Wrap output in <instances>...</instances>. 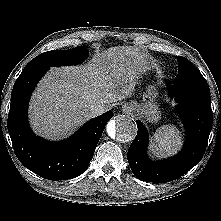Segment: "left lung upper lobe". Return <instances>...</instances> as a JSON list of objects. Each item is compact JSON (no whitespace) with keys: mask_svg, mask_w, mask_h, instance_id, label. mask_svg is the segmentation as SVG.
I'll return each mask as SVG.
<instances>
[{"mask_svg":"<svg viewBox=\"0 0 221 221\" xmlns=\"http://www.w3.org/2000/svg\"><path fill=\"white\" fill-rule=\"evenodd\" d=\"M178 74L173 83L205 81L200 71L186 58L177 57Z\"/></svg>","mask_w":221,"mask_h":221,"instance_id":"left-lung-upper-lobe-1","label":"left lung upper lobe"}]
</instances>
